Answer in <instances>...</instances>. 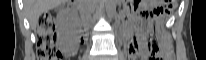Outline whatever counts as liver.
Here are the masks:
<instances>
[{"label": "liver", "mask_w": 206, "mask_h": 60, "mask_svg": "<svg viewBox=\"0 0 206 60\" xmlns=\"http://www.w3.org/2000/svg\"><path fill=\"white\" fill-rule=\"evenodd\" d=\"M64 2L65 0H25L24 8L31 28H36L39 16L42 13L54 9Z\"/></svg>", "instance_id": "1"}]
</instances>
